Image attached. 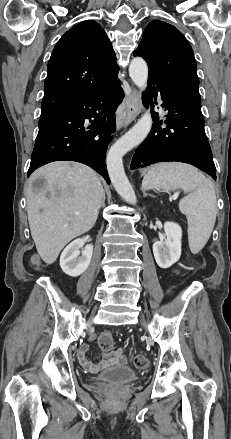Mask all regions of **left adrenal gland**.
<instances>
[{
    "label": "left adrenal gland",
    "instance_id": "1",
    "mask_svg": "<svg viewBox=\"0 0 231 439\" xmlns=\"http://www.w3.org/2000/svg\"><path fill=\"white\" fill-rule=\"evenodd\" d=\"M144 196H147V194L145 193V191H143Z\"/></svg>",
    "mask_w": 231,
    "mask_h": 439
}]
</instances>
